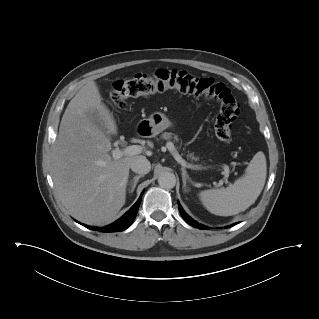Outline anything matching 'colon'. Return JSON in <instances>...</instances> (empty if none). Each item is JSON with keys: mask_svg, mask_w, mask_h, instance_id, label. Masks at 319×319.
Instances as JSON below:
<instances>
[{"mask_svg": "<svg viewBox=\"0 0 319 319\" xmlns=\"http://www.w3.org/2000/svg\"><path fill=\"white\" fill-rule=\"evenodd\" d=\"M171 89L216 102L219 112L214 122L215 135L221 141H230L232 123L240 111L239 104L225 84L211 78H200L178 70H158L153 74L139 73L130 79L116 80L110 100L114 107L123 110L126 109L129 99Z\"/></svg>", "mask_w": 319, "mask_h": 319, "instance_id": "colon-1", "label": "colon"}]
</instances>
